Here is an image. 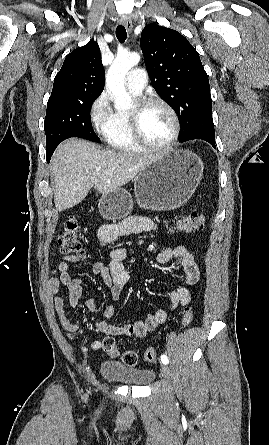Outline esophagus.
Listing matches in <instances>:
<instances>
[{
  "instance_id": "1",
  "label": "esophagus",
  "mask_w": 269,
  "mask_h": 445,
  "mask_svg": "<svg viewBox=\"0 0 269 445\" xmlns=\"http://www.w3.org/2000/svg\"><path fill=\"white\" fill-rule=\"evenodd\" d=\"M119 23L121 24V25H123V26H125V28L127 29V31L128 32H131L132 31V21L129 19V18H127V17H121L120 19H119Z\"/></svg>"
}]
</instances>
